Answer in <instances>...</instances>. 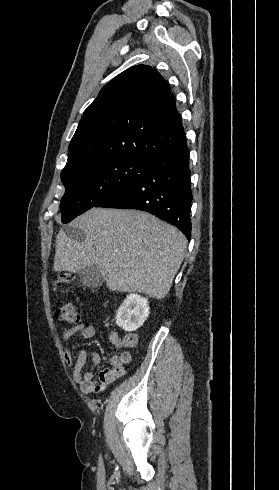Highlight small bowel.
Wrapping results in <instances>:
<instances>
[{
	"instance_id": "obj_1",
	"label": "small bowel",
	"mask_w": 279,
	"mask_h": 490,
	"mask_svg": "<svg viewBox=\"0 0 279 490\" xmlns=\"http://www.w3.org/2000/svg\"><path fill=\"white\" fill-rule=\"evenodd\" d=\"M95 333L94 326L85 322L77 323L61 331L62 338L65 340H69L76 335H79L81 339H89L94 337ZM111 342L116 349L120 350L122 348L118 336H112ZM88 355L89 353L85 349L80 350L76 356L72 354L70 349H67L65 352V361L73 369V379L85 394L99 393L102 391L106 385L123 376L126 373V365L132 361V354L130 352L121 351L119 355L112 357L108 367L103 368L98 376H96L92 371L83 372ZM90 356L93 365L99 366L101 363L100 354L92 351Z\"/></svg>"
}]
</instances>
